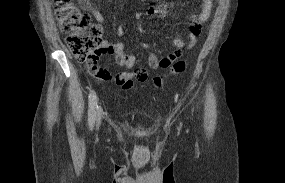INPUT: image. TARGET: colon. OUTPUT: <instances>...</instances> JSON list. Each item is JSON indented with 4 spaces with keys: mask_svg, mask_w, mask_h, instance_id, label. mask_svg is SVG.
<instances>
[{
    "mask_svg": "<svg viewBox=\"0 0 285 183\" xmlns=\"http://www.w3.org/2000/svg\"><path fill=\"white\" fill-rule=\"evenodd\" d=\"M55 15L61 31L68 33L67 45L72 54L79 61H90L97 58L102 48V30L100 26L92 24L88 14L79 9L73 0H53ZM187 70L184 61L173 63L170 75L158 76L153 80L156 89L164 88L172 76H181ZM141 80V74H136Z\"/></svg>",
    "mask_w": 285,
    "mask_h": 183,
    "instance_id": "obj_1",
    "label": "colon"
}]
</instances>
